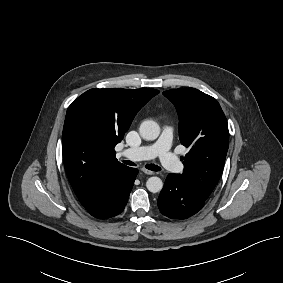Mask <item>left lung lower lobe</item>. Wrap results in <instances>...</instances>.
Here are the masks:
<instances>
[{"label":"left lung lower lobe","instance_id":"0a47b994","mask_svg":"<svg viewBox=\"0 0 283 283\" xmlns=\"http://www.w3.org/2000/svg\"><path fill=\"white\" fill-rule=\"evenodd\" d=\"M205 201L180 174H169L159 195L158 207L171 219H186L196 214Z\"/></svg>","mask_w":283,"mask_h":283}]
</instances>
